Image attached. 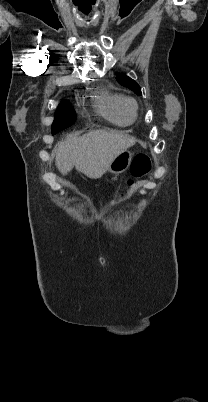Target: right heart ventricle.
I'll return each mask as SVG.
<instances>
[{"instance_id":"right-heart-ventricle-1","label":"right heart ventricle","mask_w":208,"mask_h":402,"mask_svg":"<svg viewBox=\"0 0 208 402\" xmlns=\"http://www.w3.org/2000/svg\"><path fill=\"white\" fill-rule=\"evenodd\" d=\"M97 112L115 126L125 128L131 126L136 117L128 114L123 107V96L102 89L95 99Z\"/></svg>"}]
</instances>
